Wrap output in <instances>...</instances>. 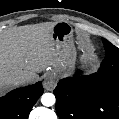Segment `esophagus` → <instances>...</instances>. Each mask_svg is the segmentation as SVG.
<instances>
[{
    "label": "esophagus",
    "instance_id": "34e87169",
    "mask_svg": "<svg viewBox=\"0 0 119 119\" xmlns=\"http://www.w3.org/2000/svg\"><path fill=\"white\" fill-rule=\"evenodd\" d=\"M43 85L46 90H49V91L53 90L56 87L55 78L51 75L47 76Z\"/></svg>",
    "mask_w": 119,
    "mask_h": 119
}]
</instances>
